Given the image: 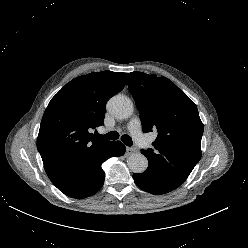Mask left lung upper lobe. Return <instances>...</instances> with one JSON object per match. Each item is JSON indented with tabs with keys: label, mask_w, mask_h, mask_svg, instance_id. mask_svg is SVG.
<instances>
[{
	"label": "left lung upper lobe",
	"mask_w": 248,
	"mask_h": 248,
	"mask_svg": "<svg viewBox=\"0 0 248 248\" xmlns=\"http://www.w3.org/2000/svg\"><path fill=\"white\" fill-rule=\"evenodd\" d=\"M129 90L140 113L143 131H157L153 149L142 150L149 166L182 184L201 158L204 125L197 106L165 77L132 72Z\"/></svg>",
	"instance_id": "1"
}]
</instances>
